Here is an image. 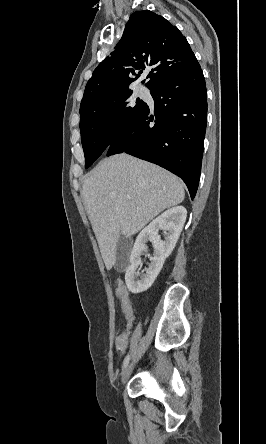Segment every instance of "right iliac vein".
<instances>
[{"label":"right iliac vein","mask_w":266,"mask_h":444,"mask_svg":"<svg viewBox=\"0 0 266 444\" xmlns=\"http://www.w3.org/2000/svg\"><path fill=\"white\" fill-rule=\"evenodd\" d=\"M133 369V362L129 363L122 372L121 382L123 385L128 381Z\"/></svg>","instance_id":"63e3f726"}]
</instances>
